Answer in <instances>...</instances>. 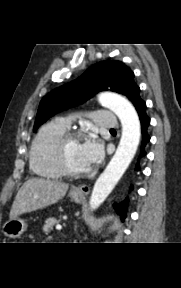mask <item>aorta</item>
<instances>
[{
  "mask_svg": "<svg viewBox=\"0 0 181 288\" xmlns=\"http://www.w3.org/2000/svg\"><path fill=\"white\" fill-rule=\"evenodd\" d=\"M98 100L118 116L122 135L114 156L93 187L89 200L91 210L97 209L114 189L131 163L141 136L138 114L127 99L113 93H101Z\"/></svg>",
  "mask_w": 181,
  "mask_h": 288,
  "instance_id": "1",
  "label": "aorta"
}]
</instances>
